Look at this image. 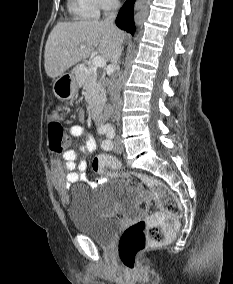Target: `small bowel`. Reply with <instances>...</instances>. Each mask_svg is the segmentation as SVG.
Returning a JSON list of instances; mask_svg holds the SVG:
<instances>
[{"label":"small bowel","mask_w":233,"mask_h":284,"mask_svg":"<svg viewBox=\"0 0 233 284\" xmlns=\"http://www.w3.org/2000/svg\"><path fill=\"white\" fill-rule=\"evenodd\" d=\"M70 135L76 138H83L79 146V151L83 155L92 154L96 149L94 138L87 134L81 125H73L69 129ZM87 161L85 159L77 160V153L73 150H67L62 153V160L54 159L51 163L52 177L55 187L63 192L70 184L84 180ZM107 179L101 177L98 183ZM97 183H93L96 185Z\"/></svg>","instance_id":"c3829d8e"}]
</instances>
